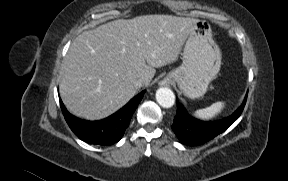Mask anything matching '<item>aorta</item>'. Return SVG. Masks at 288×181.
Masks as SVG:
<instances>
[{"mask_svg": "<svg viewBox=\"0 0 288 181\" xmlns=\"http://www.w3.org/2000/svg\"><path fill=\"white\" fill-rule=\"evenodd\" d=\"M156 101L163 108H170L175 103V95L171 89L162 87L156 91Z\"/></svg>", "mask_w": 288, "mask_h": 181, "instance_id": "aorta-1", "label": "aorta"}]
</instances>
